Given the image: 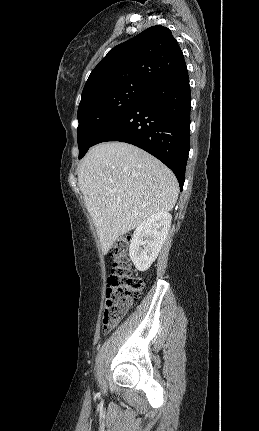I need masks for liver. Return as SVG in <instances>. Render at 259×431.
Instances as JSON below:
<instances>
[{
	"label": "liver",
	"instance_id": "obj_1",
	"mask_svg": "<svg viewBox=\"0 0 259 431\" xmlns=\"http://www.w3.org/2000/svg\"><path fill=\"white\" fill-rule=\"evenodd\" d=\"M78 184L104 255L150 215L172 210L179 193L168 167L122 142L92 147L81 162Z\"/></svg>",
	"mask_w": 259,
	"mask_h": 431
}]
</instances>
